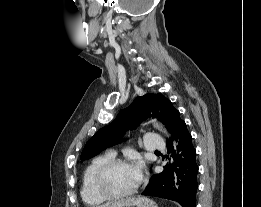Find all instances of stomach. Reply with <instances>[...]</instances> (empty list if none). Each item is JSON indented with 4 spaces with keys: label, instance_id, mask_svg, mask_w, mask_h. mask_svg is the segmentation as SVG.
Returning <instances> with one entry per match:
<instances>
[{
    "label": "stomach",
    "instance_id": "1",
    "mask_svg": "<svg viewBox=\"0 0 261 207\" xmlns=\"http://www.w3.org/2000/svg\"><path fill=\"white\" fill-rule=\"evenodd\" d=\"M108 207H158L157 204L147 197H129L110 203Z\"/></svg>",
    "mask_w": 261,
    "mask_h": 207
}]
</instances>
